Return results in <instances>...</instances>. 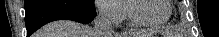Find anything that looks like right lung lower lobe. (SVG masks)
<instances>
[{
  "mask_svg": "<svg viewBox=\"0 0 219 37\" xmlns=\"http://www.w3.org/2000/svg\"><path fill=\"white\" fill-rule=\"evenodd\" d=\"M27 36L60 19L88 24L96 15L94 0H25Z\"/></svg>",
  "mask_w": 219,
  "mask_h": 37,
  "instance_id": "obj_1",
  "label": "right lung lower lobe"
}]
</instances>
